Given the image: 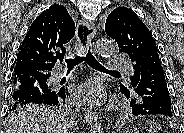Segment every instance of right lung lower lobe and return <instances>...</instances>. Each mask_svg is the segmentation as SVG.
Returning <instances> with one entry per match:
<instances>
[{
	"label": "right lung lower lobe",
	"mask_w": 184,
	"mask_h": 133,
	"mask_svg": "<svg viewBox=\"0 0 184 133\" xmlns=\"http://www.w3.org/2000/svg\"><path fill=\"white\" fill-rule=\"evenodd\" d=\"M50 73H22L18 75L19 87L14 89L12 103L18 104H48L51 106L62 105L65 103V90L45 89L38 85L35 76H43L46 80Z\"/></svg>",
	"instance_id": "1"
}]
</instances>
